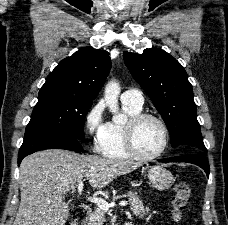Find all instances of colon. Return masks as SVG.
Listing matches in <instances>:
<instances>
[{"label":"colon","instance_id":"1","mask_svg":"<svg viewBox=\"0 0 228 225\" xmlns=\"http://www.w3.org/2000/svg\"><path fill=\"white\" fill-rule=\"evenodd\" d=\"M173 193L171 216L175 223H180L183 220V213L191 193V186L185 180L178 181L173 187Z\"/></svg>","mask_w":228,"mask_h":225}]
</instances>
